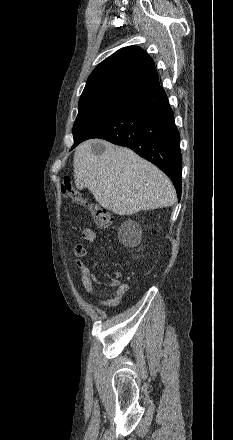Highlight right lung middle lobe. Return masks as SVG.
Returning <instances> with one entry per match:
<instances>
[{
	"label": "right lung middle lobe",
	"mask_w": 233,
	"mask_h": 440,
	"mask_svg": "<svg viewBox=\"0 0 233 440\" xmlns=\"http://www.w3.org/2000/svg\"><path fill=\"white\" fill-rule=\"evenodd\" d=\"M126 102L91 100L79 102V112L73 126L74 145L106 123Z\"/></svg>",
	"instance_id": "right-lung-middle-lobe-1"
}]
</instances>
